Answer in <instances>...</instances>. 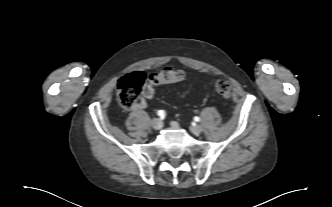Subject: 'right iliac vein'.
<instances>
[{"instance_id": "obj_1", "label": "right iliac vein", "mask_w": 332, "mask_h": 207, "mask_svg": "<svg viewBox=\"0 0 332 207\" xmlns=\"http://www.w3.org/2000/svg\"><path fill=\"white\" fill-rule=\"evenodd\" d=\"M151 126L153 127V129L155 130H160L163 126V123L160 119L155 118L151 121Z\"/></svg>"}]
</instances>
